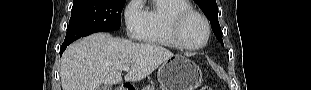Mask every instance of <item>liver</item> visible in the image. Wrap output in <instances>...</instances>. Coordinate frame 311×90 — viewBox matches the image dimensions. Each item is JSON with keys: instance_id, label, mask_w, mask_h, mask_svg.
Returning a JSON list of instances; mask_svg holds the SVG:
<instances>
[{"instance_id": "liver-1", "label": "liver", "mask_w": 311, "mask_h": 90, "mask_svg": "<svg viewBox=\"0 0 311 90\" xmlns=\"http://www.w3.org/2000/svg\"><path fill=\"white\" fill-rule=\"evenodd\" d=\"M173 56L159 45L96 33L72 43L63 53L62 90H99L102 84H119L123 66L130 67L125 80L137 82Z\"/></svg>"}]
</instances>
